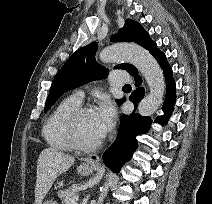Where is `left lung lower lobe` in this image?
I'll use <instances>...</instances> for the list:
<instances>
[{
	"label": "left lung lower lobe",
	"mask_w": 212,
	"mask_h": 204,
	"mask_svg": "<svg viewBox=\"0 0 212 204\" xmlns=\"http://www.w3.org/2000/svg\"><path fill=\"white\" fill-rule=\"evenodd\" d=\"M153 56L163 69L167 83L166 100L162 107L165 115L158 117L155 122L165 124L175 103V83L172 79V69L166 60L165 54L161 51H157ZM137 74L138 72L134 73L133 76H135V85L139 86L142 83V80ZM143 96L144 89L140 87L131 94L129 99L136 107L137 103L143 98ZM124 101L125 99H122L119 105ZM151 123L152 120L150 117H143L140 114L132 113L129 116L122 115L120 121V133L111 147L103 154L104 163L114 172H119L120 168L131 158L137 148L138 143L136 136L147 133Z\"/></svg>",
	"instance_id": "1"
}]
</instances>
